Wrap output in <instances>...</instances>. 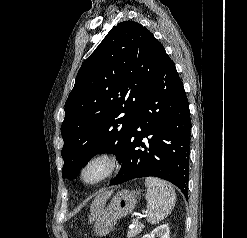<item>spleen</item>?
Wrapping results in <instances>:
<instances>
[{
  "label": "spleen",
  "instance_id": "obj_1",
  "mask_svg": "<svg viewBox=\"0 0 247 238\" xmlns=\"http://www.w3.org/2000/svg\"><path fill=\"white\" fill-rule=\"evenodd\" d=\"M145 185L148 221L156 224L171 213L176 201L175 190L169 183L156 177H147Z\"/></svg>",
  "mask_w": 247,
  "mask_h": 238
}]
</instances>
